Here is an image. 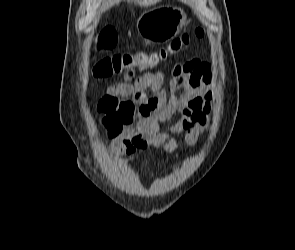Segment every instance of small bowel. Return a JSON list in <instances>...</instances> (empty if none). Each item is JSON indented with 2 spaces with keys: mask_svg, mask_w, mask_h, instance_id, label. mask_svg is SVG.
Masks as SVG:
<instances>
[{
  "mask_svg": "<svg viewBox=\"0 0 295 250\" xmlns=\"http://www.w3.org/2000/svg\"><path fill=\"white\" fill-rule=\"evenodd\" d=\"M164 59L142 68L152 69ZM212 81L210 65L199 59H192L174 65L169 95L162 88L164 74L159 71H147L136 77L129 72L125 81L109 86L103 97H131L139 109L136 124L113 139V152L131 155L150 146L174 152L179 145L173 135L180 133H185L187 145H197L200 135L209 126ZM179 91L182 93L179 94ZM147 92H150V96ZM176 115L180 117L174 123L166 130L161 129L162 123L170 121Z\"/></svg>",
  "mask_w": 295,
  "mask_h": 250,
  "instance_id": "small-bowel-1",
  "label": "small bowel"
}]
</instances>
